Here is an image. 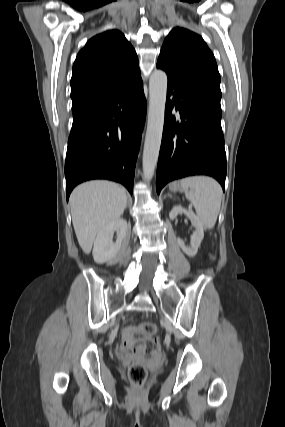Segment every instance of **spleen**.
<instances>
[{
    "mask_svg": "<svg viewBox=\"0 0 285 427\" xmlns=\"http://www.w3.org/2000/svg\"><path fill=\"white\" fill-rule=\"evenodd\" d=\"M180 183L186 198L194 205L202 225L208 229L213 228L222 200L220 184L208 176H191L182 179Z\"/></svg>",
    "mask_w": 285,
    "mask_h": 427,
    "instance_id": "spleen-1",
    "label": "spleen"
}]
</instances>
